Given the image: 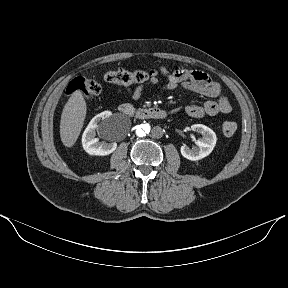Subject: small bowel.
Wrapping results in <instances>:
<instances>
[{
    "instance_id": "obj_1",
    "label": "small bowel",
    "mask_w": 288,
    "mask_h": 288,
    "mask_svg": "<svg viewBox=\"0 0 288 288\" xmlns=\"http://www.w3.org/2000/svg\"><path fill=\"white\" fill-rule=\"evenodd\" d=\"M158 72L165 77L164 89L174 90L183 87L187 90L201 94L208 99L201 105L190 104L185 107V112L193 118L205 115L229 113L232 109L229 99L221 94V87L207 73L198 70L178 69L171 71L165 66H160ZM159 79L153 75L147 82L128 88L127 93L135 100L139 99L148 85H158ZM120 91V89L118 90Z\"/></svg>"
}]
</instances>
